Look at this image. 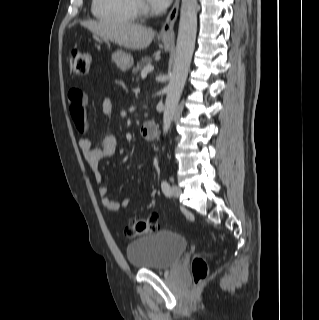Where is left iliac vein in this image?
I'll return each mask as SVG.
<instances>
[{
    "label": "left iliac vein",
    "instance_id": "left-iliac-vein-1",
    "mask_svg": "<svg viewBox=\"0 0 319 320\" xmlns=\"http://www.w3.org/2000/svg\"><path fill=\"white\" fill-rule=\"evenodd\" d=\"M182 193L181 188L178 185H173L172 187V195L174 197H179Z\"/></svg>",
    "mask_w": 319,
    "mask_h": 320
}]
</instances>
